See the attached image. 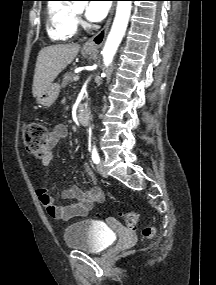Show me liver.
I'll return each mask as SVG.
<instances>
[{
    "instance_id": "1",
    "label": "liver",
    "mask_w": 216,
    "mask_h": 285,
    "mask_svg": "<svg viewBox=\"0 0 216 285\" xmlns=\"http://www.w3.org/2000/svg\"><path fill=\"white\" fill-rule=\"evenodd\" d=\"M80 50L76 43L44 47L38 54L33 78L32 94L37 97L49 87L59 73L69 65Z\"/></svg>"
}]
</instances>
